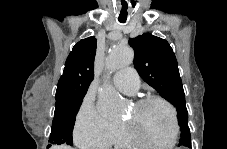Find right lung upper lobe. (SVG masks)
<instances>
[{"label": "right lung upper lobe", "mask_w": 227, "mask_h": 149, "mask_svg": "<svg viewBox=\"0 0 227 149\" xmlns=\"http://www.w3.org/2000/svg\"><path fill=\"white\" fill-rule=\"evenodd\" d=\"M96 46L94 37L85 38L75 44L58 82L56 101L80 99L85 96L94 78Z\"/></svg>", "instance_id": "right-lung-upper-lobe-1"}]
</instances>
